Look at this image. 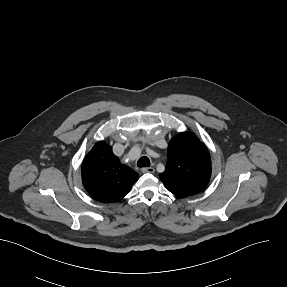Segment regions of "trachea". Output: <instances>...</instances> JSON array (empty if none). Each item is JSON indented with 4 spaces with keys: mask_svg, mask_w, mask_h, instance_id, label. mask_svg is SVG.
<instances>
[{
    "mask_svg": "<svg viewBox=\"0 0 287 287\" xmlns=\"http://www.w3.org/2000/svg\"><path fill=\"white\" fill-rule=\"evenodd\" d=\"M138 167H149L150 166V160L148 157L143 156L137 161Z\"/></svg>",
    "mask_w": 287,
    "mask_h": 287,
    "instance_id": "1",
    "label": "trachea"
}]
</instances>
